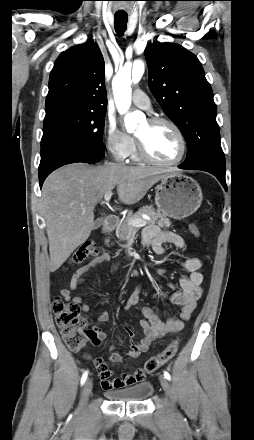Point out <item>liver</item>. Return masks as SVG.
Returning a JSON list of instances; mask_svg holds the SVG:
<instances>
[{"instance_id": "obj_1", "label": "liver", "mask_w": 254, "mask_h": 440, "mask_svg": "<svg viewBox=\"0 0 254 440\" xmlns=\"http://www.w3.org/2000/svg\"><path fill=\"white\" fill-rule=\"evenodd\" d=\"M146 167L74 163L53 171L44 181L42 213L49 241L50 271H56L84 243L94 228V207L117 186L119 200L139 202L164 177Z\"/></svg>"}]
</instances>
